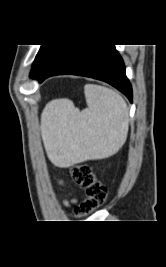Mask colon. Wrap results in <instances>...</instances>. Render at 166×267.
I'll return each mask as SVG.
<instances>
[{"mask_svg":"<svg viewBox=\"0 0 166 267\" xmlns=\"http://www.w3.org/2000/svg\"><path fill=\"white\" fill-rule=\"evenodd\" d=\"M71 177L85 192V199L74 208L73 217L83 218L104 204L107 189L87 165L74 166L71 169Z\"/></svg>","mask_w":166,"mask_h":267,"instance_id":"obj_1","label":"colon"}]
</instances>
